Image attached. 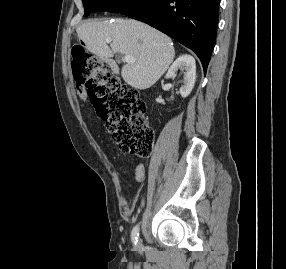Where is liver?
Segmentation results:
<instances>
[{
	"instance_id": "6515ba94",
	"label": "liver",
	"mask_w": 286,
	"mask_h": 269,
	"mask_svg": "<svg viewBox=\"0 0 286 269\" xmlns=\"http://www.w3.org/2000/svg\"><path fill=\"white\" fill-rule=\"evenodd\" d=\"M78 37L87 49L109 62L120 52L135 58L123 66L124 81L136 88L154 85L173 62L175 51L171 39L160 31L135 20L115 19L86 21L77 28ZM111 38L110 47L106 39Z\"/></svg>"
}]
</instances>
